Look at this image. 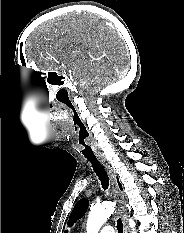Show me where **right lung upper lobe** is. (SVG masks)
I'll list each match as a JSON object with an SVG mask.
<instances>
[{"label":"right lung upper lobe","instance_id":"cb5924a9","mask_svg":"<svg viewBox=\"0 0 184 233\" xmlns=\"http://www.w3.org/2000/svg\"><path fill=\"white\" fill-rule=\"evenodd\" d=\"M117 181H118V185H119L120 189H122V186H121V184L119 183V180H118V179H117ZM64 233H67V231H65Z\"/></svg>","mask_w":184,"mask_h":233}]
</instances>
